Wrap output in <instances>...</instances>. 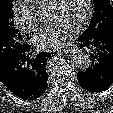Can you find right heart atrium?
I'll list each match as a JSON object with an SVG mask.
<instances>
[{
  "mask_svg": "<svg viewBox=\"0 0 113 113\" xmlns=\"http://www.w3.org/2000/svg\"><path fill=\"white\" fill-rule=\"evenodd\" d=\"M11 15L16 27L25 34L36 31L38 16L35 9L23 0H14L11 6Z\"/></svg>",
  "mask_w": 113,
  "mask_h": 113,
  "instance_id": "obj_1",
  "label": "right heart atrium"
}]
</instances>
